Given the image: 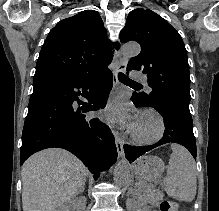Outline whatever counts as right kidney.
<instances>
[{"mask_svg": "<svg viewBox=\"0 0 219 211\" xmlns=\"http://www.w3.org/2000/svg\"><path fill=\"white\" fill-rule=\"evenodd\" d=\"M78 203L76 201H73V203H66L64 207H62L61 211H75ZM70 207H74V209H70Z\"/></svg>", "mask_w": 219, "mask_h": 211, "instance_id": "ca27d5eb", "label": "right kidney"}]
</instances>
